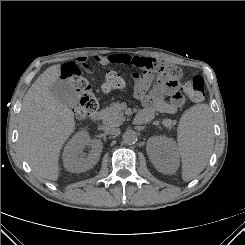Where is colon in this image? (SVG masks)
Instances as JSON below:
<instances>
[{
  "instance_id": "5ec220e1",
  "label": "colon",
  "mask_w": 245,
  "mask_h": 245,
  "mask_svg": "<svg viewBox=\"0 0 245 245\" xmlns=\"http://www.w3.org/2000/svg\"><path fill=\"white\" fill-rule=\"evenodd\" d=\"M154 72L175 82H178L182 76L179 67L157 61L155 62ZM61 76L78 94V103L74 108L75 116L84 118L95 112L98 108V102L91 91L88 80L82 75L80 65L76 62L65 64ZM123 86L124 80L118 72L110 70L105 73L102 84L104 91H113ZM182 90L193 102L202 101L205 94L203 79L200 76H194L185 80L182 84Z\"/></svg>"
}]
</instances>
